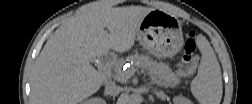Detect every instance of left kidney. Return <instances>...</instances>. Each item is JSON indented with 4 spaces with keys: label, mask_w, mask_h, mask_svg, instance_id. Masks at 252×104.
I'll use <instances>...</instances> for the list:
<instances>
[{
    "label": "left kidney",
    "mask_w": 252,
    "mask_h": 104,
    "mask_svg": "<svg viewBox=\"0 0 252 104\" xmlns=\"http://www.w3.org/2000/svg\"><path fill=\"white\" fill-rule=\"evenodd\" d=\"M173 101L174 103H189V100L183 97H175Z\"/></svg>",
    "instance_id": "1"
}]
</instances>
